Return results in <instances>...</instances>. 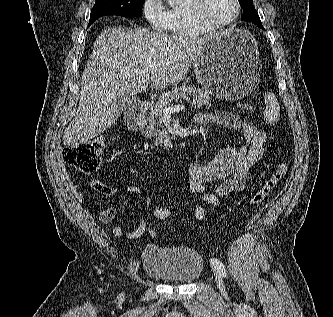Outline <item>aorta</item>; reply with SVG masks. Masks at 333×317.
Instances as JSON below:
<instances>
[{"label":"aorta","instance_id":"obj_1","mask_svg":"<svg viewBox=\"0 0 333 317\" xmlns=\"http://www.w3.org/2000/svg\"><path fill=\"white\" fill-rule=\"evenodd\" d=\"M170 5H173L177 0H167Z\"/></svg>","mask_w":333,"mask_h":317}]
</instances>
